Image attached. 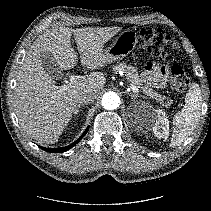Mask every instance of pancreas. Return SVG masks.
Here are the masks:
<instances>
[{
  "mask_svg": "<svg viewBox=\"0 0 211 211\" xmlns=\"http://www.w3.org/2000/svg\"><path fill=\"white\" fill-rule=\"evenodd\" d=\"M114 71H122L126 79L135 87L139 88L145 95L159 102L162 106L168 107L172 104V100L166 96H162L150 88L148 85H143L144 80L139 76L136 68L125 63H118L114 66Z\"/></svg>",
  "mask_w": 211,
  "mask_h": 211,
  "instance_id": "pancreas-1",
  "label": "pancreas"
}]
</instances>
